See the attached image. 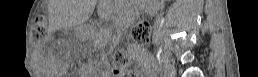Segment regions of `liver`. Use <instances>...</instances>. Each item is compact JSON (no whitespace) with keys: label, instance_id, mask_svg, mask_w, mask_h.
<instances>
[{"label":"liver","instance_id":"obj_1","mask_svg":"<svg viewBox=\"0 0 258 77\" xmlns=\"http://www.w3.org/2000/svg\"><path fill=\"white\" fill-rule=\"evenodd\" d=\"M63 19L66 24H75L76 22V2L74 0H69L68 5L64 9Z\"/></svg>","mask_w":258,"mask_h":77}]
</instances>
